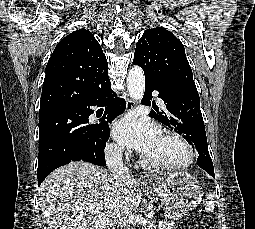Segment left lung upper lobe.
<instances>
[{"label": "left lung upper lobe", "instance_id": "left-lung-upper-lobe-1", "mask_svg": "<svg viewBox=\"0 0 255 229\" xmlns=\"http://www.w3.org/2000/svg\"><path fill=\"white\" fill-rule=\"evenodd\" d=\"M133 64L142 67L146 80L170 83L198 94L183 44L164 28L155 27L144 32L136 44ZM180 134L195 147L207 144L206 138Z\"/></svg>", "mask_w": 255, "mask_h": 229}]
</instances>
